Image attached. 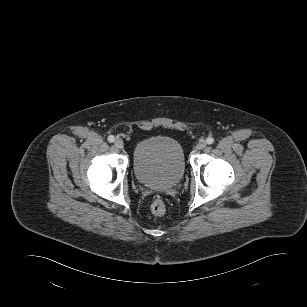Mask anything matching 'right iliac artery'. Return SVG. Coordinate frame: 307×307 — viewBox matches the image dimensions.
Masks as SVG:
<instances>
[{
  "mask_svg": "<svg viewBox=\"0 0 307 307\" xmlns=\"http://www.w3.org/2000/svg\"><path fill=\"white\" fill-rule=\"evenodd\" d=\"M108 141L110 143L114 142L115 141V137L113 135L108 136Z\"/></svg>",
  "mask_w": 307,
  "mask_h": 307,
  "instance_id": "1",
  "label": "right iliac artery"
}]
</instances>
